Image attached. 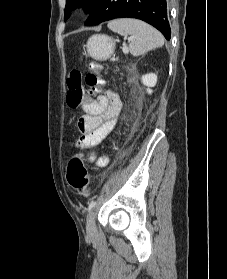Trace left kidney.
Instances as JSON below:
<instances>
[{"instance_id": "left-kidney-1", "label": "left kidney", "mask_w": 227, "mask_h": 279, "mask_svg": "<svg viewBox=\"0 0 227 279\" xmlns=\"http://www.w3.org/2000/svg\"><path fill=\"white\" fill-rule=\"evenodd\" d=\"M142 83L147 87V93L152 94L151 87H154L157 83V75L154 73H148L142 76Z\"/></svg>"}]
</instances>
